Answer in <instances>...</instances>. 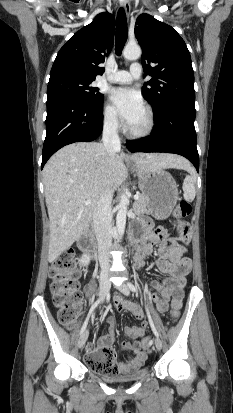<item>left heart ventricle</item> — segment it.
<instances>
[{"label": "left heart ventricle", "mask_w": 233, "mask_h": 413, "mask_svg": "<svg viewBox=\"0 0 233 413\" xmlns=\"http://www.w3.org/2000/svg\"><path fill=\"white\" fill-rule=\"evenodd\" d=\"M144 124H145V113H143L140 117H139V119L134 123V124H132L130 127L132 128V129H141L143 126H144Z\"/></svg>", "instance_id": "obj_1"}]
</instances>
